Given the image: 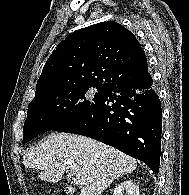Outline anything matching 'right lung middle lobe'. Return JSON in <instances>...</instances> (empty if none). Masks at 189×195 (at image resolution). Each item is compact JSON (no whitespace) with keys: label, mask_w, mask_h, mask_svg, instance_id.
Listing matches in <instances>:
<instances>
[{"label":"right lung middle lobe","mask_w":189,"mask_h":195,"mask_svg":"<svg viewBox=\"0 0 189 195\" xmlns=\"http://www.w3.org/2000/svg\"><path fill=\"white\" fill-rule=\"evenodd\" d=\"M96 89L95 93H92ZM107 91L103 87L78 86L57 90L29 103L23 127V144L90 109Z\"/></svg>","instance_id":"1"}]
</instances>
